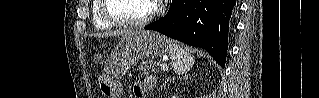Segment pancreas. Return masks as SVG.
Returning a JSON list of instances; mask_svg holds the SVG:
<instances>
[{"label":"pancreas","mask_w":319,"mask_h":98,"mask_svg":"<svg viewBox=\"0 0 319 98\" xmlns=\"http://www.w3.org/2000/svg\"><path fill=\"white\" fill-rule=\"evenodd\" d=\"M139 69L143 71L144 74L147 73H158L159 72V65L156 61L148 60L143 61L139 66Z\"/></svg>","instance_id":"obj_1"}]
</instances>
